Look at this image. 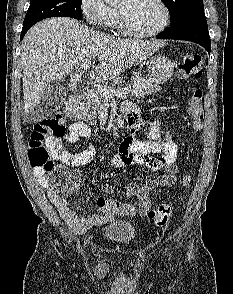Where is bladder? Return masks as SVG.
I'll return each mask as SVG.
<instances>
[{"label":"bladder","mask_w":233,"mask_h":294,"mask_svg":"<svg viewBox=\"0 0 233 294\" xmlns=\"http://www.w3.org/2000/svg\"><path fill=\"white\" fill-rule=\"evenodd\" d=\"M136 233V227L127 220L112 221L102 230L106 240L119 244L131 243L136 237Z\"/></svg>","instance_id":"1"}]
</instances>
